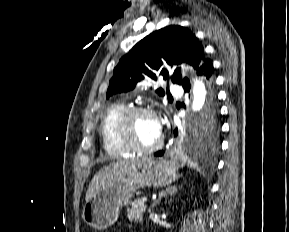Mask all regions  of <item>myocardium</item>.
I'll use <instances>...</instances> for the list:
<instances>
[{"instance_id": "f54148a6", "label": "myocardium", "mask_w": 289, "mask_h": 232, "mask_svg": "<svg viewBox=\"0 0 289 232\" xmlns=\"http://www.w3.org/2000/svg\"><path fill=\"white\" fill-rule=\"evenodd\" d=\"M141 114L152 116L159 123V118H158L157 113L149 107H145V106L126 107V109L122 112L117 122V136L119 140L121 141V143L133 153H138V154L154 153L155 151L160 149V147L162 146L163 138L161 135H160L158 142L149 147L141 146L140 144L136 142V140L133 137L132 121L136 116L141 115Z\"/></svg>"}]
</instances>
